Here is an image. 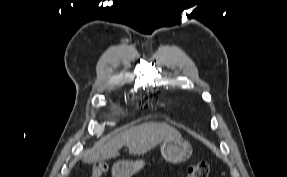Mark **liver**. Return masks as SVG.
<instances>
[{"label":"liver","instance_id":"obj_1","mask_svg":"<svg viewBox=\"0 0 287 177\" xmlns=\"http://www.w3.org/2000/svg\"><path fill=\"white\" fill-rule=\"evenodd\" d=\"M178 130L163 122H146L118 133L107 143L84 154V161L94 163L119 156V150L125 145L131 155L145 154L159 143L180 138Z\"/></svg>","mask_w":287,"mask_h":177}]
</instances>
